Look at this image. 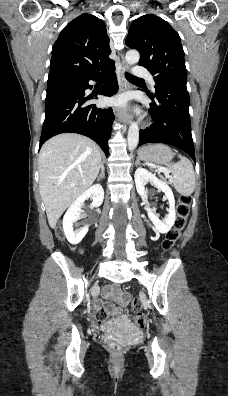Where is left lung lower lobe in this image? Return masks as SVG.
<instances>
[{
    "label": "left lung lower lobe",
    "mask_w": 228,
    "mask_h": 396,
    "mask_svg": "<svg viewBox=\"0 0 228 396\" xmlns=\"http://www.w3.org/2000/svg\"><path fill=\"white\" fill-rule=\"evenodd\" d=\"M153 103L150 114L153 125L140 131L139 145L166 143L191 156L195 161L186 83L168 81L155 85V94L147 93Z\"/></svg>",
    "instance_id": "left-lung-lower-lobe-1"
}]
</instances>
